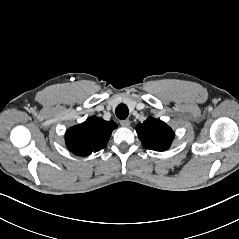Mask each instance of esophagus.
<instances>
[{
    "label": "esophagus",
    "mask_w": 239,
    "mask_h": 239,
    "mask_svg": "<svg viewBox=\"0 0 239 239\" xmlns=\"http://www.w3.org/2000/svg\"><path fill=\"white\" fill-rule=\"evenodd\" d=\"M121 126L128 127L130 125V121L128 119L120 121Z\"/></svg>",
    "instance_id": "esophagus-1"
}]
</instances>
